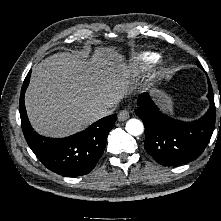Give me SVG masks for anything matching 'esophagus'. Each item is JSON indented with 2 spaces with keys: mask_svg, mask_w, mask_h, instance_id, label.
<instances>
[{
  "mask_svg": "<svg viewBox=\"0 0 221 221\" xmlns=\"http://www.w3.org/2000/svg\"><path fill=\"white\" fill-rule=\"evenodd\" d=\"M129 112L127 110H122L118 115L119 121H125L129 118Z\"/></svg>",
  "mask_w": 221,
  "mask_h": 221,
  "instance_id": "34e87169",
  "label": "esophagus"
}]
</instances>
